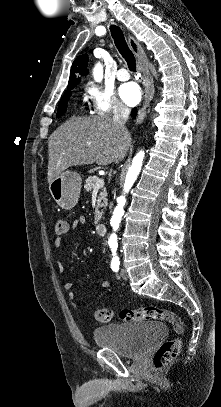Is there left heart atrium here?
I'll use <instances>...</instances> for the list:
<instances>
[{"instance_id": "39dd6f15", "label": "left heart atrium", "mask_w": 221, "mask_h": 407, "mask_svg": "<svg viewBox=\"0 0 221 407\" xmlns=\"http://www.w3.org/2000/svg\"><path fill=\"white\" fill-rule=\"evenodd\" d=\"M119 94L123 101L128 105H136L141 98L140 88L134 82L123 84L119 89Z\"/></svg>"}]
</instances>
